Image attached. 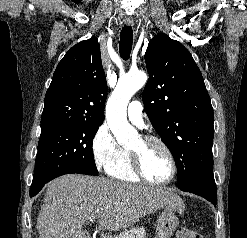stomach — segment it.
<instances>
[{"mask_svg": "<svg viewBox=\"0 0 247 238\" xmlns=\"http://www.w3.org/2000/svg\"><path fill=\"white\" fill-rule=\"evenodd\" d=\"M177 226H178L177 216L170 208H166L161 213L157 221L155 238H171Z\"/></svg>", "mask_w": 247, "mask_h": 238, "instance_id": "1", "label": "stomach"}]
</instances>
